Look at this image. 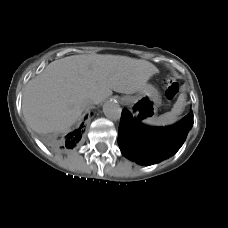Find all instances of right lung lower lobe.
<instances>
[{
    "label": "right lung lower lobe",
    "instance_id": "1",
    "mask_svg": "<svg viewBox=\"0 0 228 228\" xmlns=\"http://www.w3.org/2000/svg\"><path fill=\"white\" fill-rule=\"evenodd\" d=\"M85 131L84 125L81 124L80 127L74 131L68 133L67 135L60 138H53L48 141V144L57 151L65 152L69 149L75 147L82 138Z\"/></svg>",
    "mask_w": 228,
    "mask_h": 228
}]
</instances>
